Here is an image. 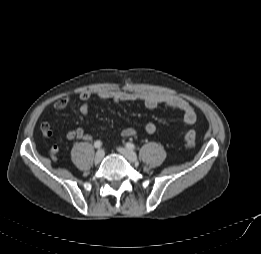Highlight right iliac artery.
<instances>
[{
    "label": "right iliac artery",
    "instance_id": "1",
    "mask_svg": "<svg viewBox=\"0 0 261 254\" xmlns=\"http://www.w3.org/2000/svg\"><path fill=\"white\" fill-rule=\"evenodd\" d=\"M101 146H102V142L99 141V140H97V141L94 143V147L97 148V149L101 148Z\"/></svg>",
    "mask_w": 261,
    "mask_h": 254
}]
</instances>
